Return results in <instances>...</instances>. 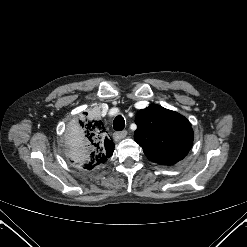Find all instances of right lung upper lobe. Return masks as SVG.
<instances>
[{"label": "right lung upper lobe", "mask_w": 247, "mask_h": 247, "mask_svg": "<svg viewBox=\"0 0 247 247\" xmlns=\"http://www.w3.org/2000/svg\"><path fill=\"white\" fill-rule=\"evenodd\" d=\"M80 122L81 136L75 149L76 160L90 170L103 164L113 154L114 143L105 136V127L101 120L87 118Z\"/></svg>", "instance_id": "right-lung-upper-lobe-1"}]
</instances>
